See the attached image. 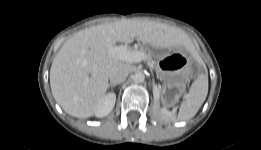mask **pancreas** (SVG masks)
Segmentation results:
<instances>
[{
  "label": "pancreas",
  "mask_w": 261,
  "mask_h": 150,
  "mask_svg": "<svg viewBox=\"0 0 261 150\" xmlns=\"http://www.w3.org/2000/svg\"><path fill=\"white\" fill-rule=\"evenodd\" d=\"M141 51L145 53L144 50H141ZM147 60H148V62H149V64H150V66H151L152 68H155V65H154L153 60H152L150 57H147Z\"/></svg>",
  "instance_id": "cf45deb5"
}]
</instances>
